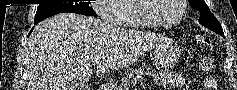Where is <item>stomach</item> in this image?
Returning a JSON list of instances; mask_svg holds the SVG:
<instances>
[{
    "label": "stomach",
    "instance_id": "obj_1",
    "mask_svg": "<svg viewBox=\"0 0 237 90\" xmlns=\"http://www.w3.org/2000/svg\"><path fill=\"white\" fill-rule=\"evenodd\" d=\"M179 57V53L176 49H168L165 51H161V53L156 52V64L159 67L166 68L168 66H172Z\"/></svg>",
    "mask_w": 237,
    "mask_h": 90
}]
</instances>
